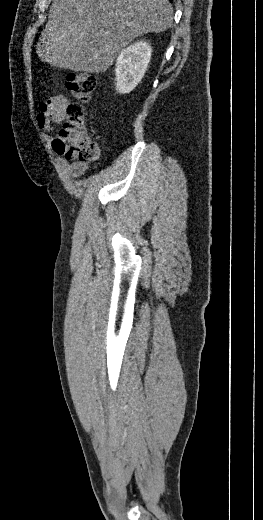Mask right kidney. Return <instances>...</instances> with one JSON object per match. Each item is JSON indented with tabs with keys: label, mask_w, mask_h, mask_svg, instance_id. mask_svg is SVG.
Returning <instances> with one entry per match:
<instances>
[{
	"label": "right kidney",
	"mask_w": 263,
	"mask_h": 520,
	"mask_svg": "<svg viewBox=\"0 0 263 520\" xmlns=\"http://www.w3.org/2000/svg\"><path fill=\"white\" fill-rule=\"evenodd\" d=\"M152 48L146 41H138L122 50L116 61V90L130 93L142 80L151 59Z\"/></svg>",
	"instance_id": "obj_1"
}]
</instances>
